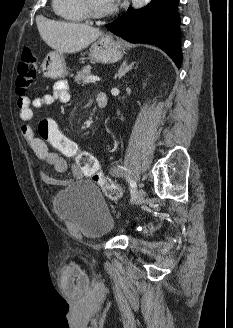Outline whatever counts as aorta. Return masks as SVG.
I'll return each instance as SVG.
<instances>
[{
	"label": "aorta",
	"instance_id": "obj_1",
	"mask_svg": "<svg viewBox=\"0 0 233 328\" xmlns=\"http://www.w3.org/2000/svg\"><path fill=\"white\" fill-rule=\"evenodd\" d=\"M151 0H132V6L135 9L141 8L143 5L149 3Z\"/></svg>",
	"mask_w": 233,
	"mask_h": 328
}]
</instances>
